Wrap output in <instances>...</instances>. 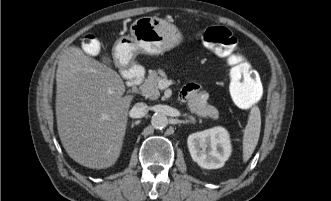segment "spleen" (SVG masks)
Instances as JSON below:
<instances>
[{"label":"spleen","instance_id":"3e777b00","mask_svg":"<svg viewBox=\"0 0 331 201\" xmlns=\"http://www.w3.org/2000/svg\"><path fill=\"white\" fill-rule=\"evenodd\" d=\"M261 130V115L258 107H252L243 135V161L247 162L254 152Z\"/></svg>","mask_w":331,"mask_h":201}]
</instances>
